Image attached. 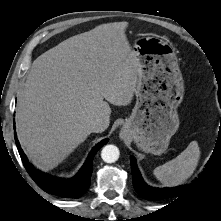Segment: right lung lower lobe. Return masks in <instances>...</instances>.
I'll return each instance as SVG.
<instances>
[{"mask_svg":"<svg viewBox=\"0 0 221 221\" xmlns=\"http://www.w3.org/2000/svg\"><path fill=\"white\" fill-rule=\"evenodd\" d=\"M14 136L24 167L36 184L45 192L64 198H78L86 192L90 185V178L93 169V158L97 151L108 142V139H104L103 141L99 142L91 150L79 173L75 177L66 180L55 178L37 170L31 163L28 162V159L20 147L16 133H14Z\"/></svg>","mask_w":221,"mask_h":221,"instance_id":"right-lung-lower-lobe-1","label":"right lung lower lobe"}]
</instances>
